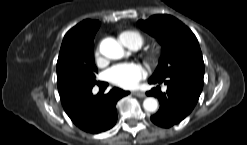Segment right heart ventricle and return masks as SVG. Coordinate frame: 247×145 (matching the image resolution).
<instances>
[{
	"instance_id": "e07e8e85",
	"label": "right heart ventricle",
	"mask_w": 247,
	"mask_h": 145,
	"mask_svg": "<svg viewBox=\"0 0 247 145\" xmlns=\"http://www.w3.org/2000/svg\"><path fill=\"white\" fill-rule=\"evenodd\" d=\"M129 37H133V38H136L139 43L142 45L143 43V37L140 33L136 32V31H131V30H128V31H124L120 34V40L123 42V39L124 38H129Z\"/></svg>"
}]
</instances>
